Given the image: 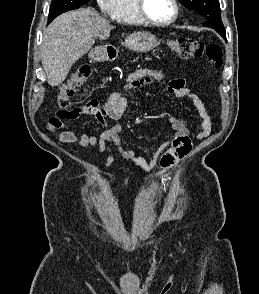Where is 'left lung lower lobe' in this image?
Returning <instances> with one entry per match:
<instances>
[{
  "label": "left lung lower lobe",
  "mask_w": 259,
  "mask_h": 294,
  "mask_svg": "<svg viewBox=\"0 0 259 294\" xmlns=\"http://www.w3.org/2000/svg\"><path fill=\"white\" fill-rule=\"evenodd\" d=\"M221 36L226 40V34H225V33L222 34ZM226 41H227V40H226Z\"/></svg>",
  "instance_id": "0a47b994"
}]
</instances>
